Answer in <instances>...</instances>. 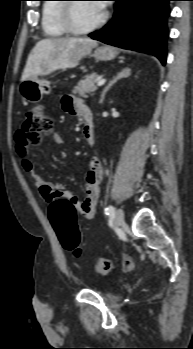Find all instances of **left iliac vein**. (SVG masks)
<instances>
[{
    "mask_svg": "<svg viewBox=\"0 0 193 349\" xmlns=\"http://www.w3.org/2000/svg\"><path fill=\"white\" fill-rule=\"evenodd\" d=\"M116 226L120 227L124 224V212L122 209H117L114 216Z\"/></svg>",
    "mask_w": 193,
    "mask_h": 349,
    "instance_id": "obj_1",
    "label": "left iliac vein"
}]
</instances>
